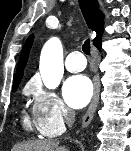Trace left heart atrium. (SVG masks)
<instances>
[{"instance_id":"left-heart-atrium-1","label":"left heart atrium","mask_w":131,"mask_h":151,"mask_svg":"<svg viewBox=\"0 0 131 151\" xmlns=\"http://www.w3.org/2000/svg\"><path fill=\"white\" fill-rule=\"evenodd\" d=\"M93 93L91 80L84 75L68 78L63 86V97L68 106L81 109L90 101Z\"/></svg>"}]
</instances>
